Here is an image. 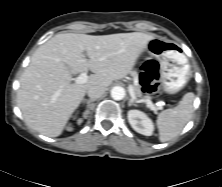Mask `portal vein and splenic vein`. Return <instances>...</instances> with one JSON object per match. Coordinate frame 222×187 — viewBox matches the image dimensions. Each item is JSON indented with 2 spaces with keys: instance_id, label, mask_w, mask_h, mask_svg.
Wrapping results in <instances>:
<instances>
[{
  "instance_id": "portal-vein-and-splenic-vein-1",
  "label": "portal vein and splenic vein",
  "mask_w": 222,
  "mask_h": 187,
  "mask_svg": "<svg viewBox=\"0 0 222 187\" xmlns=\"http://www.w3.org/2000/svg\"><path fill=\"white\" fill-rule=\"evenodd\" d=\"M88 80V76H87V73L86 72H83L81 73L76 79H75V82L77 84H84L86 83ZM129 93H130V96L132 97V99H136V96H135V93H134V90H133V86H129ZM140 102H145L146 103V106L151 109V110H156V107L154 106V104L151 102V100L149 99H145V100H140Z\"/></svg>"
}]
</instances>
